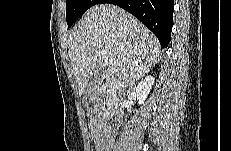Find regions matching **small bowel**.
<instances>
[{"label":"small bowel","mask_w":231,"mask_h":151,"mask_svg":"<svg viewBox=\"0 0 231 151\" xmlns=\"http://www.w3.org/2000/svg\"><path fill=\"white\" fill-rule=\"evenodd\" d=\"M110 118L106 114H96L89 118L88 125L95 151H112L115 131L108 125Z\"/></svg>","instance_id":"c3829d8e"}]
</instances>
